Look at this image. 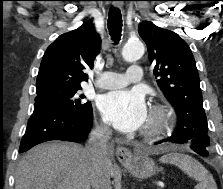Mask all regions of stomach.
I'll list each match as a JSON object with an SVG mask.
<instances>
[{
	"instance_id": "stomach-1",
	"label": "stomach",
	"mask_w": 223,
	"mask_h": 189,
	"mask_svg": "<svg viewBox=\"0 0 223 189\" xmlns=\"http://www.w3.org/2000/svg\"><path fill=\"white\" fill-rule=\"evenodd\" d=\"M124 166L137 178L146 179L158 171L154 161L148 157L137 154L131 163H124Z\"/></svg>"
}]
</instances>
